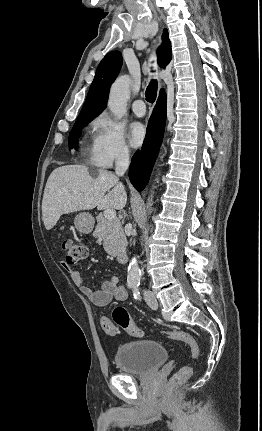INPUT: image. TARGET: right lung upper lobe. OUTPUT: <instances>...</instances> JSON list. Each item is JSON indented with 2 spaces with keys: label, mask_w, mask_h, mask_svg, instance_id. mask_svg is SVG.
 <instances>
[{
  "label": "right lung upper lobe",
  "mask_w": 262,
  "mask_h": 431,
  "mask_svg": "<svg viewBox=\"0 0 262 431\" xmlns=\"http://www.w3.org/2000/svg\"><path fill=\"white\" fill-rule=\"evenodd\" d=\"M157 56L158 63L163 68L171 61V44L166 30L163 33V43L157 50ZM121 66L122 55L119 51L109 52L101 60L78 118L94 119L106 108L110 85L117 77Z\"/></svg>",
  "instance_id": "obj_1"
}]
</instances>
